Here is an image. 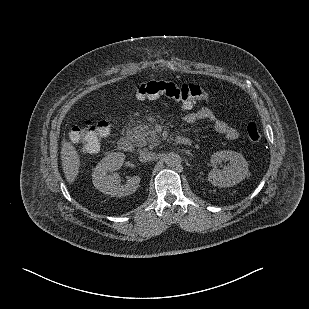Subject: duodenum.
<instances>
[{
	"label": "duodenum",
	"mask_w": 309,
	"mask_h": 309,
	"mask_svg": "<svg viewBox=\"0 0 309 309\" xmlns=\"http://www.w3.org/2000/svg\"><path fill=\"white\" fill-rule=\"evenodd\" d=\"M176 141L182 145L191 144V140L183 136L177 137ZM117 147L120 151H123V152H130L132 150V144L130 140L124 137L118 140Z\"/></svg>",
	"instance_id": "1"
}]
</instances>
